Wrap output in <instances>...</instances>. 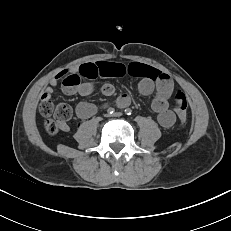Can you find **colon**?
<instances>
[{"label":"colon","instance_id":"obj_1","mask_svg":"<svg viewBox=\"0 0 231 231\" xmlns=\"http://www.w3.org/2000/svg\"><path fill=\"white\" fill-rule=\"evenodd\" d=\"M80 75L70 73L63 78L62 87L65 92L73 93L80 86ZM174 107L178 115L180 123L187 120V101L181 91H177L174 96ZM39 110L45 117V129L50 135L58 132L59 124L69 121L72 118V109L65 103L57 104L51 102L50 99H41Z\"/></svg>","mask_w":231,"mask_h":231}]
</instances>
